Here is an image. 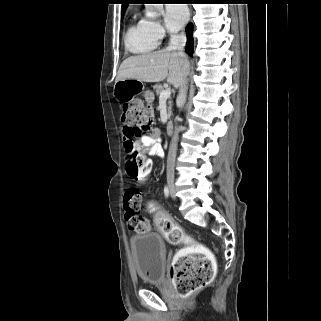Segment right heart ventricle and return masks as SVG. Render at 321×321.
I'll return each mask as SVG.
<instances>
[{"label": "right heart ventricle", "instance_id": "e07e8e85", "mask_svg": "<svg viewBox=\"0 0 321 321\" xmlns=\"http://www.w3.org/2000/svg\"><path fill=\"white\" fill-rule=\"evenodd\" d=\"M124 44L132 54H146L156 49L158 39L149 31L146 20L133 17L125 32Z\"/></svg>", "mask_w": 321, "mask_h": 321}]
</instances>
